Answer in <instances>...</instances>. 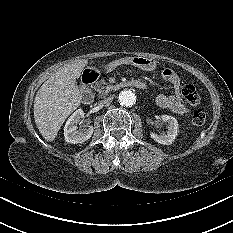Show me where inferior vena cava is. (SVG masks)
<instances>
[{
  "instance_id": "obj_1",
  "label": "inferior vena cava",
  "mask_w": 233,
  "mask_h": 233,
  "mask_svg": "<svg viewBox=\"0 0 233 233\" xmlns=\"http://www.w3.org/2000/svg\"><path fill=\"white\" fill-rule=\"evenodd\" d=\"M112 101H113V97L110 96V97H107V98H104L103 100H101L100 105L109 106Z\"/></svg>"
}]
</instances>
